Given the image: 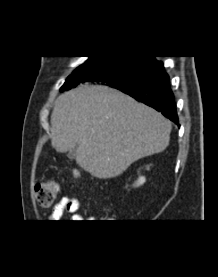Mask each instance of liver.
<instances>
[{
  "label": "liver",
  "instance_id": "1",
  "mask_svg": "<svg viewBox=\"0 0 218 277\" xmlns=\"http://www.w3.org/2000/svg\"><path fill=\"white\" fill-rule=\"evenodd\" d=\"M171 123L154 109L107 86L82 85L60 95L51 114V145L76 147L77 164L107 179L169 144Z\"/></svg>",
  "mask_w": 218,
  "mask_h": 277
}]
</instances>
